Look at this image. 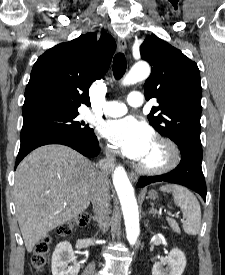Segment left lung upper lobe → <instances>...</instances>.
Returning a JSON list of instances; mask_svg holds the SVG:
<instances>
[{"label":"left lung upper lobe","instance_id":"1","mask_svg":"<svg viewBox=\"0 0 225 275\" xmlns=\"http://www.w3.org/2000/svg\"><path fill=\"white\" fill-rule=\"evenodd\" d=\"M140 53L152 66L144 84L145 98H157L159 103L148 115L150 125L179 148L201 144L202 88L197 64L155 35L145 39ZM156 112L160 114L154 116Z\"/></svg>","mask_w":225,"mask_h":275}]
</instances>
